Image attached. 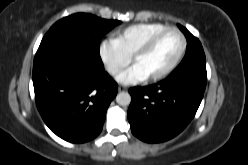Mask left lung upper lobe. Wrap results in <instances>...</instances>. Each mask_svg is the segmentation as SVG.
I'll list each match as a JSON object with an SVG mask.
<instances>
[{"label":"left lung upper lobe","instance_id":"left-lung-upper-lobe-1","mask_svg":"<svg viewBox=\"0 0 248 165\" xmlns=\"http://www.w3.org/2000/svg\"><path fill=\"white\" fill-rule=\"evenodd\" d=\"M180 30L187 38L186 54L179 66L171 73H177L196 63H206L205 54L198 38L193 36L185 27L178 24Z\"/></svg>","mask_w":248,"mask_h":165}]
</instances>
